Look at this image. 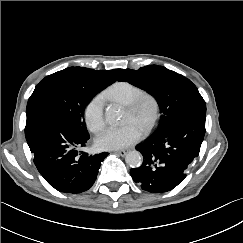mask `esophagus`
I'll use <instances>...</instances> for the list:
<instances>
[{"label": "esophagus", "mask_w": 243, "mask_h": 243, "mask_svg": "<svg viewBox=\"0 0 243 243\" xmlns=\"http://www.w3.org/2000/svg\"><path fill=\"white\" fill-rule=\"evenodd\" d=\"M115 153L123 157L128 153V151L127 150H119V151H116Z\"/></svg>", "instance_id": "esophagus-1"}]
</instances>
